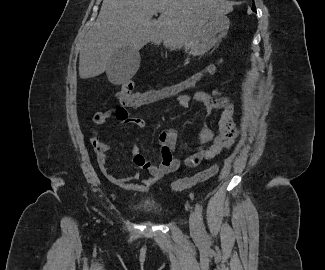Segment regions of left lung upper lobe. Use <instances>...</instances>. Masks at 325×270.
Masks as SVG:
<instances>
[{
	"instance_id": "5c2ea615",
	"label": "left lung upper lobe",
	"mask_w": 325,
	"mask_h": 270,
	"mask_svg": "<svg viewBox=\"0 0 325 270\" xmlns=\"http://www.w3.org/2000/svg\"><path fill=\"white\" fill-rule=\"evenodd\" d=\"M252 9L255 11V5L253 4V7H252Z\"/></svg>"
}]
</instances>
